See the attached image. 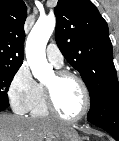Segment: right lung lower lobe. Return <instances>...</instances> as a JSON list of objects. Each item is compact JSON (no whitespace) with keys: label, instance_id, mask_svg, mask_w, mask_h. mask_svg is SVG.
Segmentation results:
<instances>
[{"label":"right lung lower lobe","instance_id":"obj_1","mask_svg":"<svg viewBox=\"0 0 119 141\" xmlns=\"http://www.w3.org/2000/svg\"><path fill=\"white\" fill-rule=\"evenodd\" d=\"M5 108H7V107L0 105V111H3Z\"/></svg>","mask_w":119,"mask_h":141}]
</instances>
